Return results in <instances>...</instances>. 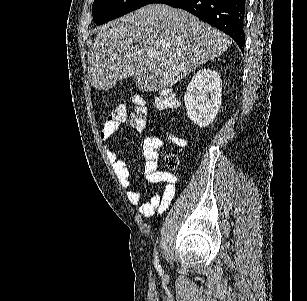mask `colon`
I'll return each mask as SVG.
<instances>
[{
	"label": "colon",
	"instance_id": "colon-1",
	"mask_svg": "<svg viewBox=\"0 0 307 301\" xmlns=\"http://www.w3.org/2000/svg\"><path fill=\"white\" fill-rule=\"evenodd\" d=\"M132 112L127 114V109L124 105L114 107L106 117V122L111 124L128 123L133 129L144 130L148 118V109L145 100L135 95L130 100ZM154 105L158 110H173L178 107V100L175 93L170 89H163L154 99ZM172 141L177 145H183L184 140L180 138H172ZM165 163L168 168L175 169L178 167L179 158L175 153H166L164 156Z\"/></svg>",
	"mask_w": 307,
	"mask_h": 301
}]
</instances>
